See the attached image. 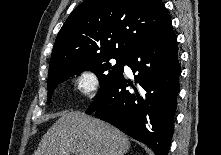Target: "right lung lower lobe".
Returning a JSON list of instances; mask_svg holds the SVG:
<instances>
[{"label":"right lung lower lobe","mask_w":221,"mask_h":155,"mask_svg":"<svg viewBox=\"0 0 221 155\" xmlns=\"http://www.w3.org/2000/svg\"><path fill=\"white\" fill-rule=\"evenodd\" d=\"M124 64L136 73V87L122 71L86 113L95 112L101 120L151 147L155 155H168L180 73L177 38L171 24L142 38ZM128 86H133L134 92L127 90Z\"/></svg>","instance_id":"1"}]
</instances>
